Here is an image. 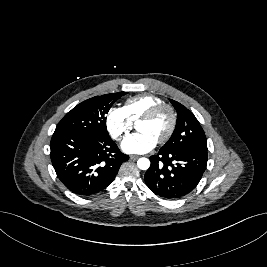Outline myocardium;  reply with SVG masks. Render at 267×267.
Returning a JSON list of instances; mask_svg holds the SVG:
<instances>
[{
    "label": "myocardium",
    "instance_id": "1",
    "mask_svg": "<svg viewBox=\"0 0 267 267\" xmlns=\"http://www.w3.org/2000/svg\"><path fill=\"white\" fill-rule=\"evenodd\" d=\"M163 111L168 112V114L170 116V124H169V127H168L167 131L165 132V134L158 140V143H160V144L167 142L171 138V136L173 135V133L176 129L177 114L175 112V109L171 105L162 102V103H159V104L153 106L152 108H150L139 119V122L150 121V120H153L154 118H156Z\"/></svg>",
    "mask_w": 267,
    "mask_h": 267
}]
</instances>
